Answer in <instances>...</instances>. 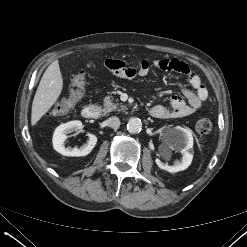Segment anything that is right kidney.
<instances>
[{"label": "right kidney", "instance_id": "right-kidney-1", "mask_svg": "<svg viewBox=\"0 0 247 247\" xmlns=\"http://www.w3.org/2000/svg\"><path fill=\"white\" fill-rule=\"evenodd\" d=\"M83 125L81 121H70L65 124L58 126L53 135V148L64 156H86L88 155L97 143V137L93 134L88 133V141L86 144H83L79 149L65 147L64 142L67 139V134L74 131H83Z\"/></svg>", "mask_w": 247, "mask_h": 247}]
</instances>
